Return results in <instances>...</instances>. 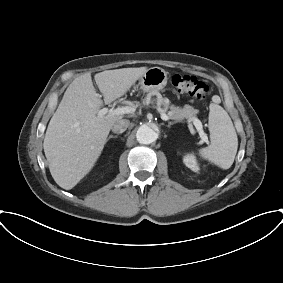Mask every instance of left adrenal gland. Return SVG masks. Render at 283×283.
<instances>
[{
    "mask_svg": "<svg viewBox=\"0 0 283 283\" xmlns=\"http://www.w3.org/2000/svg\"><path fill=\"white\" fill-rule=\"evenodd\" d=\"M177 123V121H174V122H169L168 123V125H166L168 128H170L171 127V125H173V124H176Z\"/></svg>",
    "mask_w": 283,
    "mask_h": 283,
    "instance_id": "left-adrenal-gland-1",
    "label": "left adrenal gland"
}]
</instances>
